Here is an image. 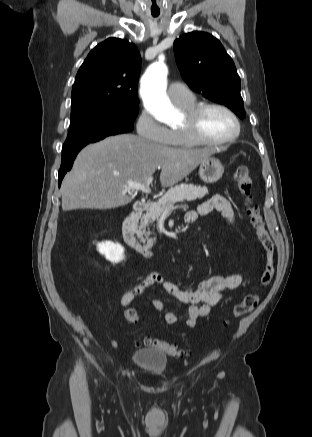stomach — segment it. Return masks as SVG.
<instances>
[{"label":"stomach","instance_id":"0dacf381","mask_svg":"<svg viewBox=\"0 0 312 437\" xmlns=\"http://www.w3.org/2000/svg\"><path fill=\"white\" fill-rule=\"evenodd\" d=\"M224 167L220 160L208 157L200 163L199 176L206 183H215L223 175Z\"/></svg>","mask_w":312,"mask_h":437}]
</instances>
